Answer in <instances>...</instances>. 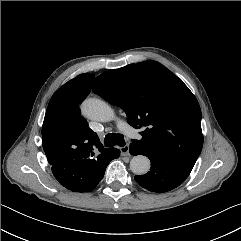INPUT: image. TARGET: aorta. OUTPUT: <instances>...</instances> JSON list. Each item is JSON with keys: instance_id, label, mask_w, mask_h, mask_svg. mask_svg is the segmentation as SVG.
<instances>
[{"instance_id": "obj_1", "label": "aorta", "mask_w": 241, "mask_h": 241, "mask_svg": "<svg viewBox=\"0 0 241 241\" xmlns=\"http://www.w3.org/2000/svg\"><path fill=\"white\" fill-rule=\"evenodd\" d=\"M82 113L89 119L107 122L113 120L115 111L105 101L88 98L81 105ZM130 169L136 175H144L150 169V160L144 155H136L130 161Z\"/></svg>"}]
</instances>
